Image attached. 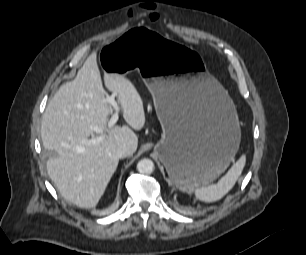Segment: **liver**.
Returning <instances> with one entry per match:
<instances>
[{
	"label": "liver",
	"mask_w": 306,
	"mask_h": 255,
	"mask_svg": "<svg viewBox=\"0 0 306 255\" xmlns=\"http://www.w3.org/2000/svg\"><path fill=\"white\" fill-rule=\"evenodd\" d=\"M104 83L116 96L127 124L141 130L145 125L143 100L133 83L122 74L107 72ZM111 112L96 54H92L76 78L59 88L43 114L42 143L52 154L47 161L48 175L61 196L81 208L96 206L103 196L119 163L117 148L127 144L133 153L137 149L138 137L129 126L108 127ZM94 134L103 140L87 143Z\"/></svg>",
	"instance_id": "liver-1"
}]
</instances>
